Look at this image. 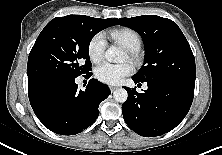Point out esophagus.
<instances>
[{"instance_id": "34e87169", "label": "esophagus", "mask_w": 222, "mask_h": 155, "mask_svg": "<svg viewBox=\"0 0 222 155\" xmlns=\"http://www.w3.org/2000/svg\"><path fill=\"white\" fill-rule=\"evenodd\" d=\"M109 88H110L111 92H114L118 87L112 85V86H109Z\"/></svg>"}]
</instances>
